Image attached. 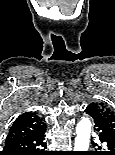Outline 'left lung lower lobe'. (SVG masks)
<instances>
[{"instance_id": "left-lung-lower-lobe-1", "label": "left lung lower lobe", "mask_w": 115, "mask_h": 155, "mask_svg": "<svg viewBox=\"0 0 115 155\" xmlns=\"http://www.w3.org/2000/svg\"><path fill=\"white\" fill-rule=\"evenodd\" d=\"M85 112L90 117H92L95 124L94 129L99 135V140L106 145L107 150H112V148L115 146V140L111 136L107 123L104 120L99 107L92 103L89 106H87ZM85 155H93V154L89 153ZM101 155H115V152L114 151L104 152Z\"/></svg>"}]
</instances>
